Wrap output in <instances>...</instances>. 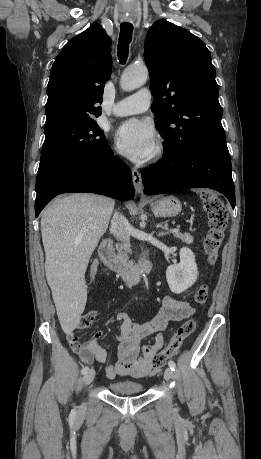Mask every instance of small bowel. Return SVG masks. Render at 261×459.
I'll list each match as a JSON object with an SVG mask.
<instances>
[{
    "instance_id": "c3829d8e",
    "label": "small bowel",
    "mask_w": 261,
    "mask_h": 459,
    "mask_svg": "<svg viewBox=\"0 0 261 459\" xmlns=\"http://www.w3.org/2000/svg\"><path fill=\"white\" fill-rule=\"evenodd\" d=\"M98 270V262L94 261L90 269L91 277ZM195 313L194 307L188 302L177 300L169 295L162 299V305L155 317L147 323H134L126 313H118L116 320L120 324V333L115 337L119 344L118 360L109 364L105 375L109 379L116 376L145 377L152 372V359L165 343L164 330L169 322H179L190 318ZM102 332L94 333L82 343L74 331L67 333L72 349L85 363H105L106 350L100 344ZM149 339L141 345L142 341Z\"/></svg>"
}]
</instances>
